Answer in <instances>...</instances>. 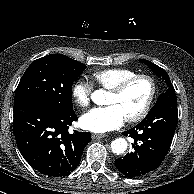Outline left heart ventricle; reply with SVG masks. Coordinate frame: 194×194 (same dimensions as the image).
<instances>
[{
    "label": "left heart ventricle",
    "instance_id": "left-heart-ventricle-1",
    "mask_svg": "<svg viewBox=\"0 0 194 194\" xmlns=\"http://www.w3.org/2000/svg\"><path fill=\"white\" fill-rule=\"evenodd\" d=\"M150 93V85L146 80H137L130 84L120 95L109 93L106 104L116 106L126 118L138 114L144 107Z\"/></svg>",
    "mask_w": 194,
    "mask_h": 194
}]
</instances>
